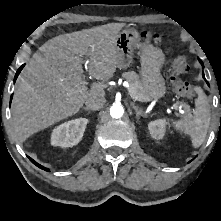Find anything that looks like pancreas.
<instances>
[{"instance_id": "obj_1", "label": "pancreas", "mask_w": 221, "mask_h": 221, "mask_svg": "<svg viewBox=\"0 0 221 221\" xmlns=\"http://www.w3.org/2000/svg\"><path fill=\"white\" fill-rule=\"evenodd\" d=\"M124 78L128 81L130 85V89L133 95L140 101L146 100L145 90L143 88L142 83L139 80V76L134 71H129L124 73ZM185 110H187L188 106L183 104Z\"/></svg>"}]
</instances>
